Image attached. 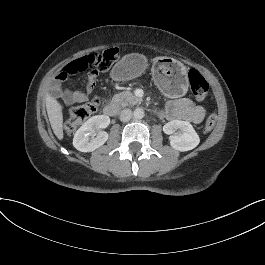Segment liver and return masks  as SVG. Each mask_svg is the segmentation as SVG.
<instances>
[{
  "mask_svg": "<svg viewBox=\"0 0 265 265\" xmlns=\"http://www.w3.org/2000/svg\"><path fill=\"white\" fill-rule=\"evenodd\" d=\"M46 109L52 131L55 137L59 141H62L64 138L62 106L59 101L49 93H46Z\"/></svg>",
  "mask_w": 265,
  "mask_h": 265,
  "instance_id": "1",
  "label": "liver"
}]
</instances>
